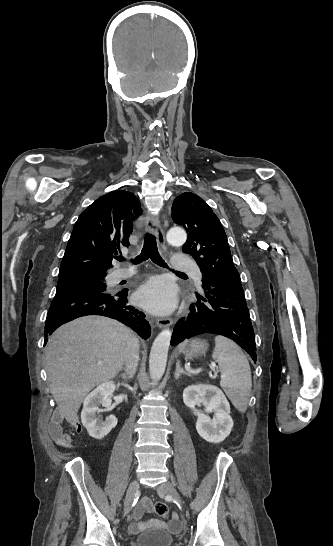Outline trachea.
<instances>
[{"label": "trachea", "instance_id": "trachea-1", "mask_svg": "<svg viewBox=\"0 0 333 546\" xmlns=\"http://www.w3.org/2000/svg\"><path fill=\"white\" fill-rule=\"evenodd\" d=\"M151 259L155 264L167 268V264L162 259V257L159 254L156 238L152 234H147L144 239V245L142 248V251L139 256H137L132 262L134 264H138L140 262H143L147 259ZM117 260L123 261L124 258L122 256L118 257ZM179 274H184L182 272L176 271Z\"/></svg>", "mask_w": 333, "mask_h": 546}]
</instances>
